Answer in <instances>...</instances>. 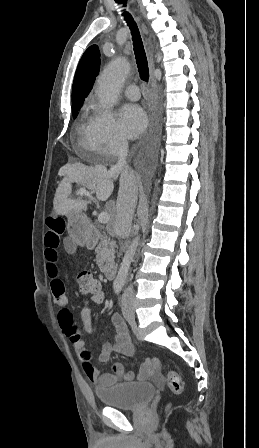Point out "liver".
<instances>
[{"label":"liver","mask_w":259,"mask_h":448,"mask_svg":"<svg viewBox=\"0 0 259 448\" xmlns=\"http://www.w3.org/2000/svg\"><path fill=\"white\" fill-rule=\"evenodd\" d=\"M59 174H63L64 178L61 180L54 198V210L57 216H68V214H80L86 212L88 202L84 200H71V184L78 182L81 186H85L88 190H101L104 194L102 200H107L111 194L114 178L113 172H102L96 168H89L84 164H68ZM110 210V208H108Z\"/></svg>","instance_id":"1"}]
</instances>
